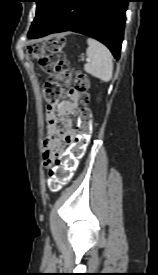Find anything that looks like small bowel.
<instances>
[{"label": "small bowel", "instance_id": "small-bowel-1", "mask_svg": "<svg viewBox=\"0 0 158 275\" xmlns=\"http://www.w3.org/2000/svg\"><path fill=\"white\" fill-rule=\"evenodd\" d=\"M68 96L69 100L56 101L47 106V136L43 142V161L46 167L63 155L65 147L73 144L76 138L71 116L78 106V94L70 91Z\"/></svg>", "mask_w": 158, "mask_h": 275}]
</instances>
